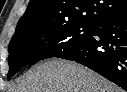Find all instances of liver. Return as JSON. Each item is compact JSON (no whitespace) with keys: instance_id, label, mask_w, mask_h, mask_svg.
Wrapping results in <instances>:
<instances>
[{"instance_id":"liver-1","label":"liver","mask_w":127,"mask_h":92,"mask_svg":"<svg viewBox=\"0 0 127 92\" xmlns=\"http://www.w3.org/2000/svg\"><path fill=\"white\" fill-rule=\"evenodd\" d=\"M11 92H123L91 69L51 59L34 65Z\"/></svg>"}]
</instances>
